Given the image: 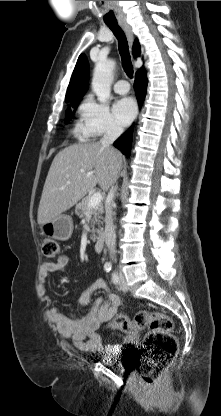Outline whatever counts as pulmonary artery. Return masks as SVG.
I'll use <instances>...</instances> for the list:
<instances>
[{
    "label": "pulmonary artery",
    "mask_w": 221,
    "mask_h": 416,
    "mask_svg": "<svg viewBox=\"0 0 221 416\" xmlns=\"http://www.w3.org/2000/svg\"><path fill=\"white\" fill-rule=\"evenodd\" d=\"M130 90L129 83L125 79H119L114 85V91L118 94H127Z\"/></svg>",
    "instance_id": "1"
}]
</instances>
